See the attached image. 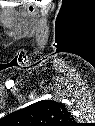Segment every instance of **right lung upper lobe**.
I'll return each mask as SVG.
<instances>
[{"label": "right lung upper lobe", "mask_w": 95, "mask_h": 126, "mask_svg": "<svg viewBox=\"0 0 95 126\" xmlns=\"http://www.w3.org/2000/svg\"><path fill=\"white\" fill-rule=\"evenodd\" d=\"M15 126H72L73 116L64 104L42 100L6 116Z\"/></svg>", "instance_id": "cb5924a9"}]
</instances>
